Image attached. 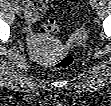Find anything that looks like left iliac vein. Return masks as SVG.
I'll list each match as a JSON object with an SVG mask.
<instances>
[{
	"instance_id": "obj_1",
	"label": "left iliac vein",
	"mask_w": 111,
	"mask_h": 106,
	"mask_svg": "<svg viewBox=\"0 0 111 106\" xmlns=\"http://www.w3.org/2000/svg\"><path fill=\"white\" fill-rule=\"evenodd\" d=\"M90 5H91L92 7H95V6L97 5V1H96V0H91V1H90Z\"/></svg>"
}]
</instances>
